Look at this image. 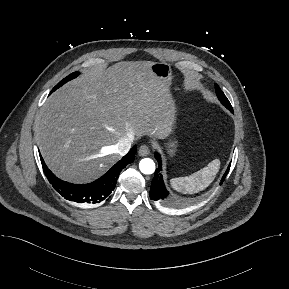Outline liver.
<instances>
[{"label": "liver", "mask_w": 289, "mask_h": 289, "mask_svg": "<svg viewBox=\"0 0 289 289\" xmlns=\"http://www.w3.org/2000/svg\"><path fill=\"white\" fill-rule=\"evenodd\" d=\"M149 61H122L85 71L46 100L37 120L42 157L60 179L88 183L121 155L124 136H160L173 111L167 84Z\"/></svg>", "instance_id": "1"}]
</instances>
